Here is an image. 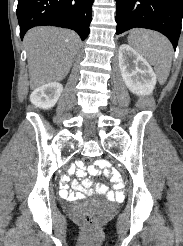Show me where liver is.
<instances>
[{
  "label": "liver",
  "instance_id": "obj_1",
  "mask_svg": "<svg viewBox=\"0 0 183 246\" xmlns=\"http://www.w3.org/2000/svg\"><path fill=\"white\" fill-rule=\"evenodd\" d=\"M79 41V36L67 29L37 27L29 30L24 42L31 89L63 80L71 69Z\"/></svg>",
  "mask_w": 183,
  "mask_h": 246
}]
</instances>
